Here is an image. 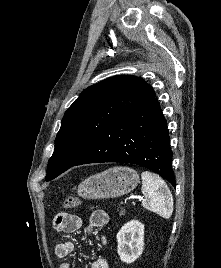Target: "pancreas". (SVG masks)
Listing matches in <instances>:
<instances>
[{
  "label": "pancreas",
  "instance_id": "pancreas-1",
  "mask_svg": "<svg viewBox=\"0 0 221 268\" xmlns=\"http://www.w3.org/2000/svg\"><path fill=\"white\" fill-rule=\"evenodd\" d=\"M119 215H120V216L125 215V210H124V209H121V211L119 212Z\"/></svg>",
  "mask_w": 221,
  "mask_h": 268
}]
</instances>
